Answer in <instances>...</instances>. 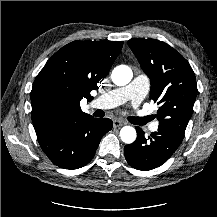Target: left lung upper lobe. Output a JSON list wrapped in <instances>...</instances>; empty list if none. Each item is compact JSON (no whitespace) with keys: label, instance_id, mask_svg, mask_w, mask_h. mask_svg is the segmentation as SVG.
Wrapping results in <instances>:
<instances>
[{"label":"left lung upper lobe","instance_id":"obj_1","mask_svg":"<svg viewBox=\"0 0 217 217\" xmlns=\"http://www.w3.org/2000/svg\"><path fill=\"white\" fill-rule=\"evenodd\" d=\"M127 43L150 78V99L160 105L159 126L184 136L197 95L195 73L190 64L162 41L133 39Z\"/></svg>","mask_w":217,"mask_h":217}]
</instances>
